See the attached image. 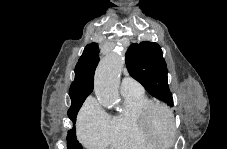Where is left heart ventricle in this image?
<instances>
[{"mask_svg":"<svg viewBox=\"0 0 227 149\" xmlns=\"http://www.w3.org/2000/svg\"><path fill=\"white\" fill-rule=\"evenodd\" d=\"M151 130L154 137L161 143H165L170 137L169 122L162 111L154 113L151 119Z\"/></svg>","mask_w":227,"mask_h":149,"instance_id":"obj_1","label":"left heart ventricle"}]
</instances>
